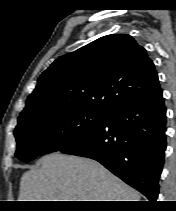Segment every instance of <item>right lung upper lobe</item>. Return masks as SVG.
I'll use <instances>...</instances> for the list:
<instances>
[{
  "label": "right lung upper lobe",
  "mask_w": 176,
  "mask_h": 211,
  "mask_svg": "<svg viewBox=\"0 0 176 211\" xmlns=\"http://www.w3.org/2000/svg\"><path fill=\"white\" fill-rule=\"evenodd\" d=\"M159 88L146 50L129 35H107L55 60L38 78L19 118L66 108L109 113Z\"/></svg>",
  "instance_id": "right-lung-upper-lobe-1"
}]
</instances>
